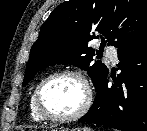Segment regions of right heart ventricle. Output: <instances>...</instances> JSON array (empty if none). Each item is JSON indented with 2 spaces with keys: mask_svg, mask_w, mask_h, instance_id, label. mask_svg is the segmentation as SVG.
<instances>
[{
  "mask_svg": "<svg viewBox=\"0 0 147 131\" xmlns=\"http://www.w3.org/2000/svg\"><path fill=\"white\" fill-rule=\"evenodd\" d=\"M36 87L33 90L32 94L30 96V99H29L30 117L35 122H41V121H44L45 119H43L42 116L38 113L36 106H35L34 94H35Z\"/></svg>",
  "mask_w": 147,
  "mask_h": 131,
  "instance_id": "obj_1",
  "label": "right heart ventricle"
}]
</instances>
